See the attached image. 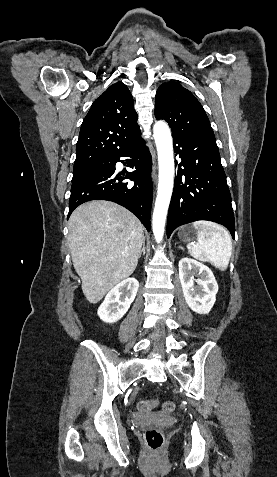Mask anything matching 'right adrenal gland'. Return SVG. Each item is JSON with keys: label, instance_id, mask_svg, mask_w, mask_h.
Returning <instances> with one entry per match:
<instances>
[{"label": "right adrenal gland", "instance_id": "2a0ac1e0", "mask_svg": "<svg viewBox=\"0 0 277 477\" xmlns=\"http://www.w3.org/2000/svg\"><path fill=\"white\" fill-rule=\"evenodd\" d=\"M141 254L145 255V239H143V247H142L141 253L139 255V258L141 257Z\"/></svg>", "mask_w": 277, "mask_h": 477}]
</instances>
